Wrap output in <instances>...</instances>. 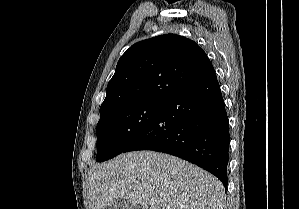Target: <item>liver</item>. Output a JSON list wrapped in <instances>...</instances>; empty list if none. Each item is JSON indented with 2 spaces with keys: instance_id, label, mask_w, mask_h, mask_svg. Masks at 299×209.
Instances as JSON below:
<instances>
[{
  "instance_id": "obj_1",
  "label": "liver",
  "mask_w": 299,
  "mask_h": 209,
  "mask_svg": "<svg viewBox=\"0 0 299 209\" xmlns=\"http://www.w3.org/2000/svg\"><path fill=\"white\" fill-rule=\"evenodd\" d=\"M88 196L90 209L121 199L142 209H224L225 191L215 176L185 160L135 151L91 166Z\"/></svg>"
}]
</instances>
